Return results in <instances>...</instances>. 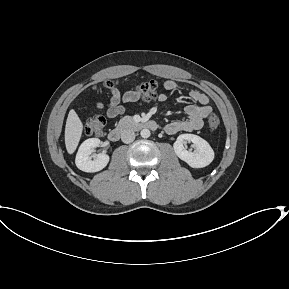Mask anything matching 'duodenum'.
<instances>
[{
    "instance_id": "obj_1",
    "label": "duodenum",
    "mask_w": 289,
    "mask_h": 289,
    "mask_svg": "<svg viewBox=\"0 0 289 289\" xmlns=\"http://www.w3.org/2000/svg\"><path fill=\"white\" fill-rule=\"evenodd\" d=\"M158 125L155 121H125L119 126L113 128L108 133V139L112 142H116L120 137L129 130H142V129H157Z\"/></svg>"
}]
</instances>
